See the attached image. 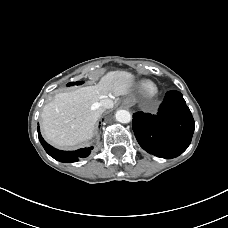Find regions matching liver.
<instances>
[{
  "instance_id": "liver-1",
  "label": "liver",
  "mask_w": 228,
  "mask_h": 228,
  "mask_svg": "<svg viewBox=\"0 0 228 228\" xmlns=\"http://www.w3.org/2000/svg\"><path fill=\"white\" fill-rule=\"evenodd\" d=\"M131 83L130 73L112 71L103 76L97 85L55 95L41 114L44 137L60 148L90 140L104 112V108L98 105L100 100H115L120 95L128 94Z\"/></svg>"
}]
</instances>
